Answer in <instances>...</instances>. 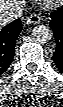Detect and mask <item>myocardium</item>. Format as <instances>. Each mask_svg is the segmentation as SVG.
I'll list each match as a JSON object with an SVG mask.
<instances>
[{
	"label": "myocardium",
	"mask_w": 63,
	"mask_h": 107,
	"mask_svg": "<svg viewBox=\"0 0 63 107\" xmlns=\"http://www.w3.org/2000/svg\"><path fill=\"white\" fill-rule=\"evenodd\" d=\"M47 7H55L62 3L61 0H43Z\"/></svg>",
	"instance_id": "f54148a6"
}]
</instances>
